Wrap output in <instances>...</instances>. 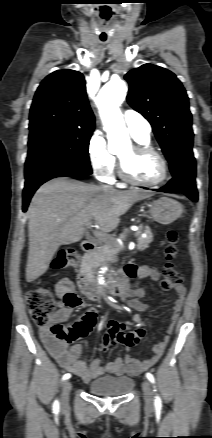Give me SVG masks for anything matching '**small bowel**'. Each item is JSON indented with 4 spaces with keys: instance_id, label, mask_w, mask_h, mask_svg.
Here are the masks:
<instances>
[{
    "instance_id": "c3829d8e",
    "label": "small bowel",
    "mask_w": 212,
    "mask_h": 438,
    "mask_svg": "<svg viewBox=\"0 0 212 438\" xmlns=\"http://www.w3.org/2000/svg\"><path fill=\"white\" fill-rule=\"evenodd\" d=\"M136 276L152 281H157L159 279V273L155 268L145 265H127L124 268L120 278L121 289L119 291V296L122 300H127L131 297L138 299L145 297L146 289L144 287L135 286L134 288H130L127 283L128 278H133ZM63 288H73L72 282L68 278L61 279L56 285L58 293H60ZM175 294L176 300L172 307L173 314L170 319V325L167 329L168 336H166L161 343L154 347V355L144 361L136 360L130 355H127L125 358L117 357L114 361L106 364H102L100 359L96 358L88 365L80 358L82 352V347L80 345H71V342L58 340L52 334L49 327H41L39 329V333L47 348L56 358L58 363L67 371L79 376L84 382H89L103 374L136 376L143 373L159 359L169 342V335L172 333L174 324L177 321L180 311L183 307L186 295L185 287L182 284L178 285L175 288ZM135 305L140 309H148L151 307V305L141 303L139 301H136ZM75 308L83 310L81 318L76 322L84 323L88 327L89 333L97 322V312L95 309L84 304L80 299L75 305H67L63 301L59 302L53 320L60 323L66 322L69 319L72 310ZM145 334L146 330L144 328H137L134 331L127 332L125 324L110 320L105 326L102 348L105 350L108 347L122 344L127 349H130L139 343Z\"/></svg>"
}]
</instances>
